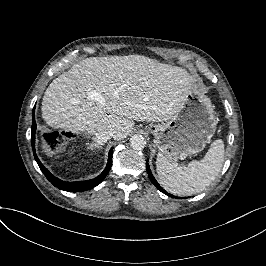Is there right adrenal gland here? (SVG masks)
<instances>
[{"mask_svg": "<svg viewBox=\"0 0 266 266\" xmlns=\"http://www.w3.org/2000/svg\"><path fill=\"white\" fill-rule=\"evenodd\" d=\"M88 146L90 148V151H94V148L98 149V150H101L102 149V146H99L97 144H95L94 142H90L88 143Z\"/></svg>", "mask_w": 266, "mask_h": 266, "instance_id": "1", "label": "right adrenal gland"}]
</instances>
